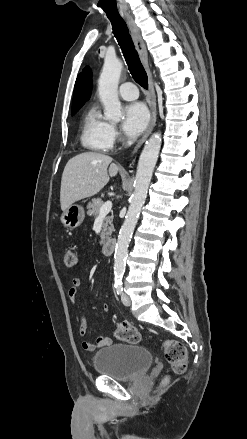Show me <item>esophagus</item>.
Here are the masks:
<instances>
[{
  "instance_id": "1",
  "label": "esophagus",
  "mask_w": 247,
  "mask_h": 439,
  "mask_svg": "<svg viewBox=\"0 0 247 439\" xmlns=\"http://www.w3.org/2000/svg\"><path fill=\"white\" fill-rule=\"evenodd\" d=\"M124 18L129 26V29L131 31V34H132V37L134 40L136 50L138 52V55H139L140 60L142 62V65H143V67L147 73V76H148L149 96L151 99V109H152V116H151V121L149 123V126H148L147 130L145 131V133L143 134L142 138L138 141V143L134 147V149L132 151V156H133L137 153L138 149L145 142V140L150 135V133L152 132V130L156 124L157 105H156L155 90H154V86H153V82H152L151 71H150L149 63H148V53L146 50L145 43L142 39L140 30L134 21V18L131 15H126Z\"/></svg>"
}]
</instances>
